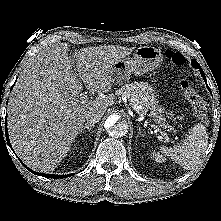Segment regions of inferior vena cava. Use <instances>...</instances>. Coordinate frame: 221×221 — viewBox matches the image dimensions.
Instances as JSON below:
<instances>
[{
	"mask_svg": "<svg viewBox=\"0 0 221 221\" xmlns=\"http://www.w3.org/2000/svg\"><path fill=\"white\" fill-rule=\"evenodd\" d=\"M104 113L105 111H101V110H91L86 114L85 119L87 120L88 123L94 124L101 120Z\"/></svg>",
	"mask_w": 221,
	"mask_h": 221,
	"instance_id": "obj_1",
	"label": "inferior vena cava"
}]
</instances>
